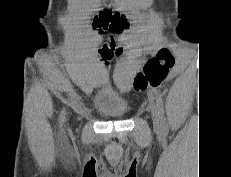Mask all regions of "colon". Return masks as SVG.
I'll use <instances>...</instances> for the list:
<instances>
[{"instance_id":"colon-1","label":"colon","mask_w":231,"mask_h":177,"mask_svg":"<svg viewBox=\"0 0 231 177\" xmlns=\"http://www.w3.org/2000/svg\"><path fill=\"white\" fill-rule=\"evenodd\" d=\"M94 25L100 30H109L113 33L123 31L128 23L127 19L120 13H111L104 10L95 18ZM114 53H120V50L114 51L111 45H105L101 49L102 58L110 59ZM174 65V57L166 48L160 49L156 56L150 58L144 65L143 72L137 74L134 79L136 90L144 89L147 85L152 87L159 86L166 78L169 69Z\"/></svg>"}]
</instances>
